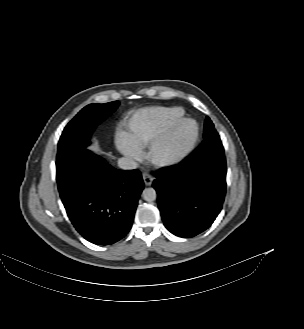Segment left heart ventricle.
Returning a JSON list of instances; mask_svg holds the SVG:
<instances>
[{"mask_svg":"<svg viewBox=\"0 0 304 329\" xmlns=\"http://www.w3.org/2000/svg\"><path fill=\"white\" fill-rule=\"evenodd\" d=\"M194 125L192 123H186L177 138V140L168 148V152L176 150L184 141H186L193 133Z\"/></svg>","mask_w":304,"mask_h":329,"instance_id":"obj_1","label":"left heart ventricle"}]
</instances>
